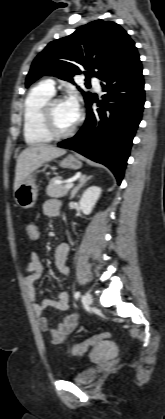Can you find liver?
I'll use <instances>...</instances> for the list:
<instances>
[{
    "mask_svg": "<svg viewBox=\"0 0 165 419\" xmlns=\"http://www.w3.org/2000/svg\"><path fill=\"white\" fill-rule=\"evenodd\" d=\"M65 153V149L48 144H37L25 148L17 159L14 190L43 164L50 162Z\"/></svg>",
    "mask_w": 165,
    "mask_h": 419,
    "instance_id": "obj_1",
    "label": "liver"
}]
</instances>
